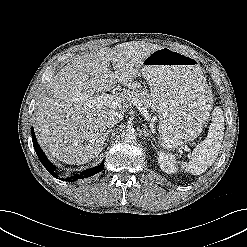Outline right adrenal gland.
I'll use <instances>...</instances> for the list:
<instances>
[{
  "instance_id": "1",
  "label": "right adrenal gland",
  "mask_w": 247,
  "mask_h": 247,
  "mask_svg": "<svg viewBox=\"0 0 247 247\" xmlns=\"http://www.w3.org/2000/svg\"><path fill=\"white\" fill-rule=\"evenodd\" d=\"M111 131H112V129H108L107 132H106V143H105V146L107 145V143L109 141V134H110Z\"/></svg>"
}]
</instances>
